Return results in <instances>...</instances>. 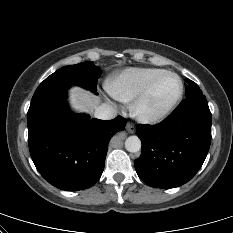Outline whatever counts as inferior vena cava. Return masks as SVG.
<instances>
[{
  "label": "inferior vena cava",
  "mask_w": 233,
  "mask_h": 233,
  "mask_svg": "<svg viewBox=\"0 0 233 233\" xmlns=\"http://www.w3.org/2000/svg\"><path fill=\"white\" fill-rule=\"evenodd\" d=\"M94 116L98 119L110 120L117 116V111L113 106L103 103L95 109Z\"/></svg>",
  "instance_id": "1"
}]
</instances>
